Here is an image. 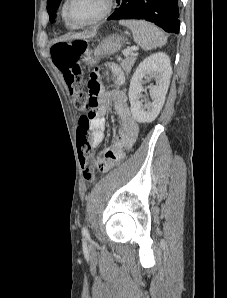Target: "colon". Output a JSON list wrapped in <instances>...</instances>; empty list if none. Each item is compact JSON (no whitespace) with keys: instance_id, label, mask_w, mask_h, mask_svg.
I'll list each match as a JSON object with an SVG mask.
<instances>
[{"instance_id":"1","label":"colon","mask_w":227,"mask_h":298,"mask_svg":"<svg viewBox=\"0 0 227 298\" xmlns=\"http://www.w3.org/2000/svg\"><path fill=\"white\" fill-rule=\"evenodd\" d=\"M87 49V43L80 40L60 41L51 48V55L58 69L63 73L64 80L74 97L76 108L80 111V122L77 131V148L80 154V162L84 168V178L92 181L95 161L92 156L91 134L89 133L91 104L90 92L87 91V82L80 78V59Z\"/></svg>"}]
</instances>
